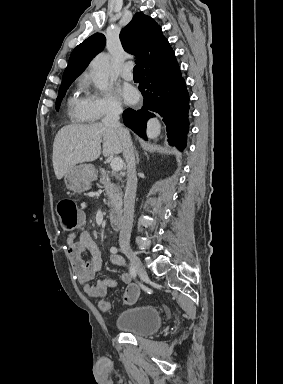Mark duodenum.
Instances as JSON below:
<instances>
[{
    "label": "duodenum",
    "mask_w": 283,
    "mask_h": 384,
    "mask_svg": "<svg viewBox=\"0 0 283 384\" xmlns=\"http://www.w3.org/2000/svg\"><path fill=\"white\" fill-rule=\"evenodd\" d=\"M109 216H110V221H111L112 226L117 230L121 229L123 226V212H122V210L114 211Z\"/></svg>",
    "instance_id": "obj_1"
}]
</instances>
